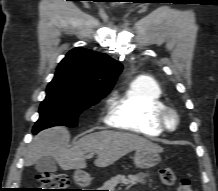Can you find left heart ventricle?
I'll use <instances>...</instances> for the list:
<instances>
[{
  "label": "left heart ventricle",
  "mask_w": 218,
  "mask_h": 191,
  "mask_svg": "<svg viewBox=\"0 0 218 191\" xmlns=\"http://www.w3.org/2000/svg\"><path fill=\"white\" fill-rule=\"evenodd\" d=\"M169 123H170V125H174V118H173V116H169Z\"/></svg>",
  "instance_id": "1"
}]
</instances>
